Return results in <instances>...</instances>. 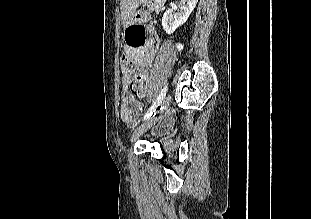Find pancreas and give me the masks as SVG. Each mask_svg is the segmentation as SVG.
I'll list each match as a JSON object with an SVG mask.
<instances>
[{
    "instance_id": "cf45deb5",
    "label": "pancreas",
    "mask_w": 311,
    "mask_h": 219,
    "mask_svg": "<svg viewBox=\"0 0 311 219\" xmlns=\"http://www.w3.org/2000/svg\"><path fill=\"white\" fill-rule=\"evenodd\" d=\"M164 0H149L152 10H159L163 5Z\"/></svg>"
}]
</instances>
